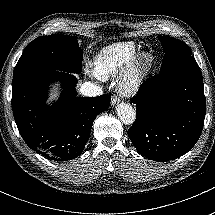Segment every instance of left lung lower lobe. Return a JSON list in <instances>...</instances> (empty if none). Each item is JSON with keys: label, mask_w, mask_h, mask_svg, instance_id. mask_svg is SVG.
Wrapping results in <instances>:
<instances>
[{"label": "left lung lower lobe", "mask_w": 215, "mask_h": 215, "mask_svg": "<svg viewBox=\"0 0 215 215\" xmlns=\"http://www.w3.org/2000/svg\"><path fill=\"white\" fill-rule=\"evenodd\" d=\"M131 101L136 120L128 136L140 154L165 162L194 147L205 119L203 78L196 60L147 79Z\"/></svg>", "instance_id": "1"}]
</instances>
